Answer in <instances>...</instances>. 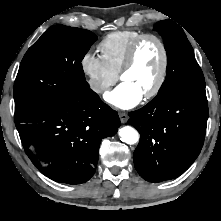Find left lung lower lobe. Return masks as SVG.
Returning a JSON list of instances; mask_svg holds the SVG:
<instances>
[{
  "instance_id": "left-lung-lower-lobe-1",
  "label": "left lung lower lobe",
  "mask_w": 221,
  "mask_h": 221,
  "mask_svg": "<svg viewBox=\"0 0 221 221\" xmlns=\"http://www.w3.org/2000/svg\"><path fill=\"white\" fill-rule=\"evenodd\" d=\"M129 116L128 123L141 136L134 151L139 175L154 183L174 179L191 166L203 146L206 93L168 89Z\"/></svg>"
}]
</instances>
